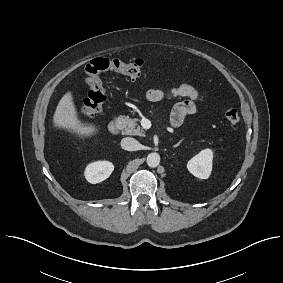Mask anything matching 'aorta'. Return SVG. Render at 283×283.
I'll list each match as a JSON object with an SVG mask.
<instances>
[{"mask_svg": "<svg viewBox=\"0 0 283 283\" xmlns=\"http://www.w3.org/2000/svg\"><path fill=\"white\" fill-rule=\"evenodd\" d=\"M160 163V155L158 153H150L147 156V164L151 168H155L159 165Z\"/></svg>", "mask_w": 283, "mask_h": 283, "instance_id": "1", "label": "aorta"}]
</instances>
